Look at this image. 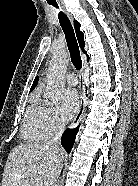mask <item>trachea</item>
Instances as JSON below:
<instances>
[{"mask_svg": "<svg viewBox=\"0 0 138 186\" xmlns=\"http://www.w3.org/2000/svg\"><path fill=\"white\" fill-rule=\"evenodd\" d=\"M48 4L58 8L57 2L49 1ZM58 18H59V23L61 25V28L65 34L68 50H69L70 56H71V61L74 65V67L77 70H80L82 67V60H81V56H80L79 46H78L71 22L62 11L59 12Z\"/></svg>", "mask_w": 138, "mask_h": 186, "instance_id": "1", "label": "trachea"}]
</instances>
